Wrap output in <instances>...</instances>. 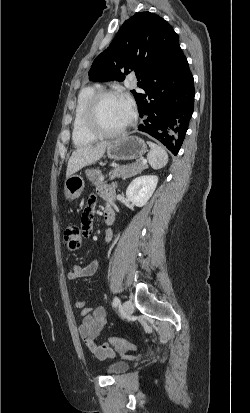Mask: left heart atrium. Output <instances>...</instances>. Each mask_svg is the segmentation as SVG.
<instances>
[{
    "label": "left heart atrium",
    "instance_id": "obj_1",
    "mask_svg": "<svg viewBox=\"0 0 250 413\" xmlns=\"http://www.w3.org/2000/svg\"><path fill=\"white\" fill-rule=\"evenodd\" d=\"M121 103L124 106L129 119L131 120L134 115V104L130 97L124 95L120 97Z\"/></svg>",
    "mask_w": 250,
    "mask_h": 413
}]
</instances>
